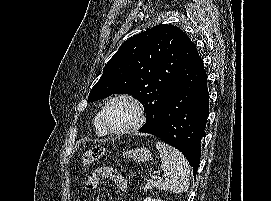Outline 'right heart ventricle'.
I'll return each mask as SVG.
<instances>
[{
	"mask_svg": "<svg viewBox=\"0 0 271 201\" xmlns=\"http://www.w3.org/2000/svg\"><path fill=\"white\" fill-rule=\"evenodd\" d=\"M93 127L97 135L106 136L109 132L104 128L101 118L100 112H97L93 118Z\"/></svg>",
	"mask_w": 271,
	"mask_h": 201,
	"instance_id": "obj_1",
	"label": "right heart ventricle"
}]
</instances>
